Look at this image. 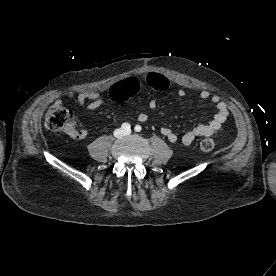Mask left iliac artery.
<instances>
[{"label":"left iliac artery","mask_w":276,"mask_h":276,"mask_svg":"<svg viewBox=\"0 0 276 276\" xmlns=\"http://www.w3.org/2000/svg\"><path fill=\"white\" fill-rule=\"evenodd\" d=\"M141 129H142V128H141L140 125H136L135 128H134V130H135L136 132H140Z\"/></svg>","instance_id":"44dca946"}]
</instances>
